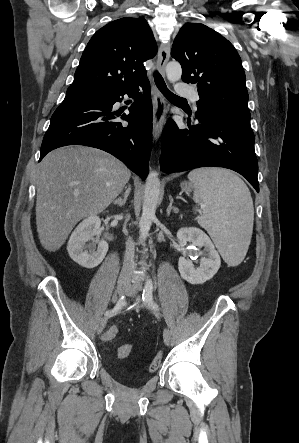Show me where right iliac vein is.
<instances>
[{"instance_id":"1","label":"right iliac vein","mask_w":299,"mask_h":443,"mask_svg":"<svg viewBox=\"0 0 299 443\" xmlns=\"http://www.w3.org/2000/svg\"><path fill=\"white\" fill-rule=\"evenodd\" d=\"M128 282H129V277H127V276H122L119 278L118 283H117V290H118L119 294H123L126 291L127 286H128ZM107 320H108L107 316H104L99 320V323L97 325V333L98 334H100L103 331V329L107 323Z\"/></svg>"}]
</instances>
